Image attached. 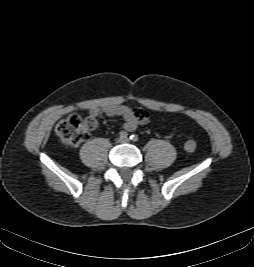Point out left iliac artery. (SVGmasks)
I'll list each match as a JSON object with an SVG mask.
<instances>
[{
    "instance_id": "left-iliac-artery-1",
    "label": "left iliac artery",
    "mask_w": 254,
    "mask_h": 267,
    "mask_svg": "<svg viewBox=\"0 0 254 267\" xmlns=\"http://www.w3.org/2000/svg\"><path fill=\"white\" fill-rule=\"evenodd\" d=\"M130 139H131L132 141H134V142H137V141L139 140L138 135H136V134L131 135V136H130Z\"/></svg>"
}]
</instances>
